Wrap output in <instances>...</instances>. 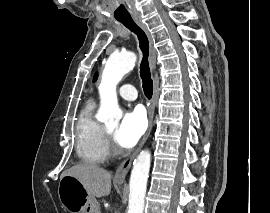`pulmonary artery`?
<instances>
[{"label": "pulmonary artery", "mask_w": 270, "mask_h": 213, "mask_svg": "<svg viewBox=\"0 0 270 213\" xmlns=\"http://www.w3.org/2000/svg\"><path fill=\"white\" fill-rule=\"evenodd\" d=\"M119 95L127 101H135L137 99V91L132 85H123L119 89Z\"/></svg>", "instance_id": "1"}]
</instances>
